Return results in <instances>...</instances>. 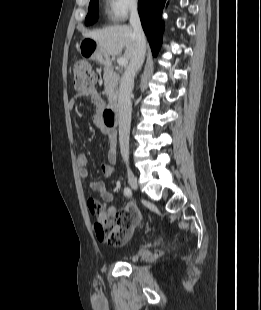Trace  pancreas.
Wrapping results in <instances>:
<instances>
[{
    "mask_svg": "<svg viewBox=\"0 0 261 310\" xmlns=\"http://www.w3.org/2000/svg\"><path fill=\"white\" fill-rule=\"evenodd\" d=\"M119 75L113 71L107 70L104 73V87L105 93L110 98H115L117 95V87L119 81Z\"/></svg>",
    "mask_w": 261,
    "mask_h": 310,
    "instance_id": "obj_1",
    "label": "pancreas"
}]
</instances>
